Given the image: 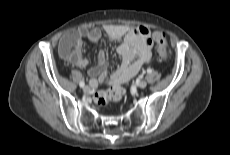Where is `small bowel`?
<instances>
[{
  "label": "small bowel",
  "mask_w": 230,
  "mask_h": 155,
  "mask_svg": "<svg viewBox=\"0 0 230 155\" xmlns=\"http://www.w3.org/2000/svg\"><path fill=\"white\" fill-rule=\"evenodd\" d=\"M104 32L110 40L120 42L117 51L122 61L120 66L107 78L108 62L105 52L101 51L98 54L96 65L89 69V75L92 77L90 86L93 90L105 82L111 87L118 86L135 76L143 65L152 60L153 42H156L155 33L158 31L151 33L144 26L111 24L104 27ZM70 33L79 38L77 52L72 56L71 61L78 67H84L87 65V59L81 53L82 39L90 43H97L102 35L101 30L77 28Z\"/></svg>",
  "instance_id": "1"
}]
</instances>
